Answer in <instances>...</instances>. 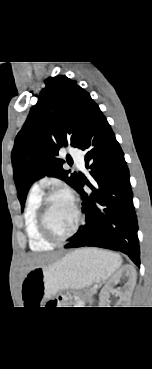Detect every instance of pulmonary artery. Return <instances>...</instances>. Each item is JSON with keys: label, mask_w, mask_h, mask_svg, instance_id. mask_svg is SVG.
I'll use <instances>...</instances> for the list:
<instances>
[{"label": "pulmonary artery", "mask_w": 152, "mask_h": 369, "mask_svg": "<svg viewBox=\"0 0 152 369\" xmlns=\"http://www.w3.org/2000/svg\"><path fill=\"white\" fill-rule=\"evenodd\" d=\"M69 153L73 157L76 165L80 168H84V159L82 153L74 148H71ZM31 189L39 190L41 189V185L38 182H34Z\"/></svg>", "instance_id": "1"}]
</instances>
